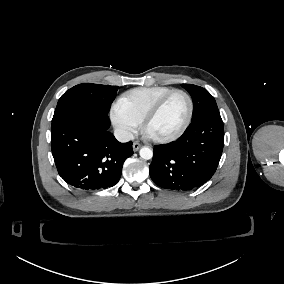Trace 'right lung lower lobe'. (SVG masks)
I'll use <instances>...</instances> for the list:
<instances>
[{
	"label": "right lung lower lobe",
	"instance_id": "right-lung-lower-lobe-1",
	"mask_svg": "<svg viewBox=\"0 0 284 284\" xmlns=\"http://www.w3.org/2000/svg\"><path fill=\"white\" fill-rule=\"evenodd\" d=\"M109 127L106 113L86 107L71 108L52 119V154L68 184L85 191L117 184L133 149L132 142H118Z\"/></svg>",
	"mask_w": 284,
	"mask_h": 284
}]
</instances>
